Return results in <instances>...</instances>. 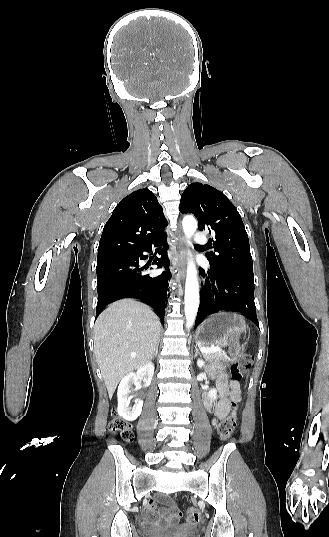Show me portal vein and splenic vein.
Returning a JSON list of instances; mask_svg holds the SVG:
<instances>
[{
	"label": "portal vein and splenic vein",
	"mask_w": 329,
	"mask_h": 537,
	"mask_svg": "<svg viewBox=\"0 0 329 537\" xmlns=\"http://www.w3.org/2000/svg\"><path fill=\"white\" fill-rule=\"evenodd\" d=\"M201 351L204 353H212V352L221 351V348L218 346H211L210 348H201Z\"/></svg>",
	"instance_id": "portal-vein-and-splenic-vein-1"
}]
</instances>
